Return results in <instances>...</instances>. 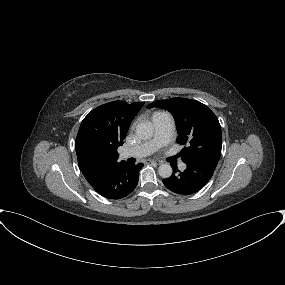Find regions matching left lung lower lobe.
<instances>
[{
  "label": "left lung lower lobe",
  "mask_w": 285,
  "mask_h": 285,
  "mask_svg": "<svg viewBox=\"0 0 285 285\" xmlns=\"http://www.w3.org/2000/svg\"><path fill=\"white\" fill-rule=\"evenodd\" d=\"M215 158H199L186 162L187 168L183 172L173 173L164 179L163 184L172 192L180 195H190L202 189L212 177L218 164Z\"/></svg>",
  "instance_id": "1"
}]
</instances>
